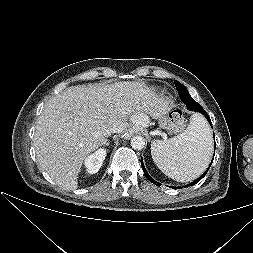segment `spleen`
Returning <instances> with one entry per match:
<instances>
[{
    "label": "spleen",
    "instance_id": "1",
    "mask_svg": "<svg viewBox=\"0 0 253 253\" xmlns=\"http://www.w3.org/2000/svg\"><path fill=\"white\" fill-rule=\"evenodd\" d=\"M212 133L200 114L191 117L186 130L167 140H154L151 144L152 159L168 177L188 182L200 176L211 160Z\"/></svg>",
    "mask_w": 253,
    "mask_h": 253
}]
</instances>
